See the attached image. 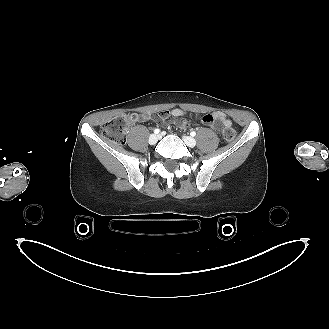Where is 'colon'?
Wrapping results in <instances>:
<instances>
[{
  "label": "colon",
  "mask_w": 329,
  "mask_h": 329,
  "mask_svg": "<svg viewBox=\"0 0 329 329\" xmlns=\"http://www.w3.org/2000/svg\"><path fill=\"white\" fill-rule=\"evenodd\" d=\"M132 122L133 117L126 114L110 119L101 126V134L117 144H124L127 126ZM222 136L225 141H232L235 138V131L232 128H225Z\"/></svg>",
  "instance_id": "colon-1"
}]
</instances>
